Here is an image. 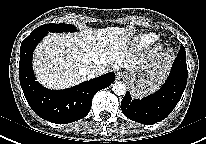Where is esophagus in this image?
Returning a JSON list of instances; mask_svg holds the SVG:
<instances>
[{"instance_id":"1","label":"esophagus","mask_w":206,"mask_h":144,"mask_svg":"<svg viewBox=\"0 0 206 144\" xmlns=\"http://www.w3.org/2000/svg\"><path fill=\"white\" fill-rule=\"evenodd\" d=\"M124 77H125L124 72H122V71H117V72H116V78H117L118 80L123 79Z\"/></svg>"}]
</instances>
